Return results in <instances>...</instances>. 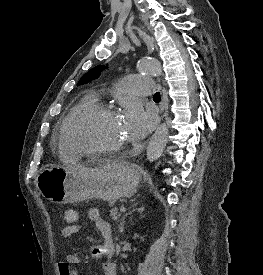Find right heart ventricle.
<instances>
[{"label":"right heart ventricle","mask_w":263,"mask_h":275,"mask_svg":"<svg viewBox=\"0 0 263 275\" xmlns=\"http://www.w3.org/2000/svg\"><path fill=\"white\" fill-rule=\"evenodd\" d=\"M95 104H97V97L94 94L86 95L69 112V114L65 118L61 129V144H60V151L64 157L71 158V159H77L79 157V154L72 148L69 141L67 140V135L76 117L86 109L94 106Z\"/></svg>","instance_id":"right-heart-ventricle-1"}]
</instances>
